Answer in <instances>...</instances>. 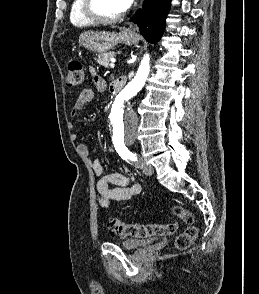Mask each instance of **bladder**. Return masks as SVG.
Returning a JSON list of instances; mask_svg holds the SVG:
<instances>
[{"mask_svg": "<svg viewBox=\"0 0 259 294\" xmlns=\"http://www.w3.org/2000/svg\"><path fill=\"white\" fill-rule=\"evenodd\" d=\"M158 236L149 238V239H127L124 241L119 242V246L126 251H132V250H137L154 240H156Z\"/></svg>", "mask_w": 259, "mask_h": 294, "instance_id": "31cf9c89", "label": "bladder"}]
</instances>
